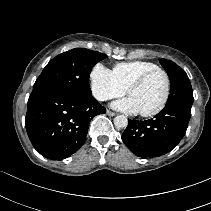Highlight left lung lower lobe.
Returning a JSON list of instances; mask_svg holds the SVG:
<instances>
[{
	"mask_svg": "<svg viewBox=\"0 0 211 211\" xmlns=\"http://www.w3.org/2000/svg\"><path fill=\"white\" fill-rule=\"evenodd\" d=\"M192 105L166 104L160 113L146 121L128 120L122 134L125 145L137 156L157 157L174 149L185 135Z\"/></svg>",
	"mask_w": 211,
	"mask_h": 211,
	"instance_id": "left-lung-lower-lobe-1",
	"label": "left lung lower lobe"
}]
</instances>
